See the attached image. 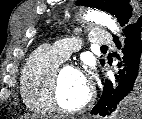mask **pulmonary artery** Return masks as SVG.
<instances>
[{"instance_id": "pulmonary-artery-1", "label": "pulmonary artery", "mask_w": 142, "mask_h": 119, "mask_svg": "<svg viewBox=\"0 0 142 119\" xmlns=\"http://www.w3.org/2000/svg\"><path fill=\"white\" fill-rule=\"evenodd\" d=\"M88 40L92 45H112L114 43L112 36L102 29L92 31ZM80 45V41L77 38H66L53 43L51 47L65 60L72 53L76 52L80 48Z\"/></svg>"}]
</instances>
